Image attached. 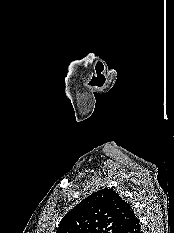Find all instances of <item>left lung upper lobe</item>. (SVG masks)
Wrapping results in <instances>:
<instances>
[{
    "instance_id": "left-lung-upper-lobe-1",
    "label": "left lung upper lobe",
    "mask_w": 174,
    "mask_h": 233,
    "mask_svg": "<svg viewBox=\"0 0 174 233\" xmlns=\"http://www.w3.org/2000/svg\"><path fill=\"white\" fill-rule=\"evenodd\" d=\"M131 204L112 189H101L77 204L56 233H120L135 218Z\"/></svg>"
}]
</instances>
